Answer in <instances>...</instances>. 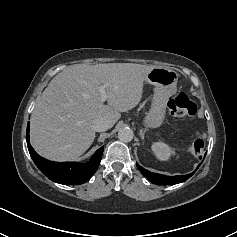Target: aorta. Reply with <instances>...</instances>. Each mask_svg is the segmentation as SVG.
<instances>
[{
    "instance_id": "aorta-1",
    "label": "aorta",
    "mask_w": 237,
    "mask_h": 237,
    "mask_svg": "<svg viewBox=\"0 0 237 237\" xmlns=\"http://www.w3.org/2000/svg\"><path fill=\"white\" fill-rule=\"evenodd\" d=\"M118 138L122 142H130L133 139V131L130 128H121L118 132Z\"/></svg>"
}]
</instances>
